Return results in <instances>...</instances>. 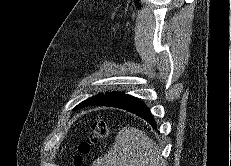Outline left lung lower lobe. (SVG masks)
Returning a JSON list of instances; mask_svg holds the SVG:
<instances>
[{"label": "left lung lower lobe", "instance_id": "left-lung-lower-lobe-1", "mask_svg": "<svg viewBox=\"0 0 231 166\" xmlns=\"http://www.w3.org/2000/svg\"><path fill=\"white\" fill-rule=\"evenodd\" d=\"M90 105L116 107L127 110L146 120L153 128L156 122L147 106L138 98L125 92H110L95 99Z\"/></svg>", "mask_w": 231, "mask_h": 166}]
</instances>
